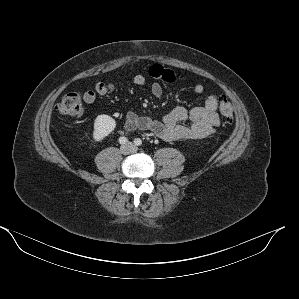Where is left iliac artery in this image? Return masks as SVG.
Masks as SVG:
<instances>
[{"label": "left iliac artery", "instance_id": "1", "mask_svg": "<svg viewBox=\"0 0 299 299\" xmlns=\"http://www.w3.org/2000/svg\"><path fill=\"white\" fill-rule=\"evenodd\" d=\"M134 144L137 145V146H141L142 145V140L140 138H136L134 140Z\"/></svg>", "mask_w": 299, "mask_h": 299}]
</instances>
